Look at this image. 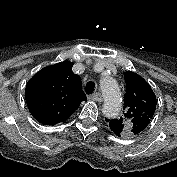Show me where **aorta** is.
<instances>
[{
    "instance_id": "1",
    "label": "aorta",
    "mask_w": 177,
    "mask_h": 177,
    "mask_svg": "<svg viewBox=\"0 0 177 177\" xmlns=\"http://www.w3.org/2000/svg\"><path fill=\"white\" fill-rule=\"evenodd\" d=\"M104 96L102 112L106 117L116 118L121 110V94L116 81L111 77H104L100 81Z\"/></svg>"
}]
</instances>
